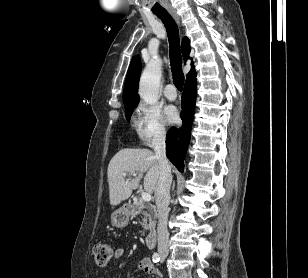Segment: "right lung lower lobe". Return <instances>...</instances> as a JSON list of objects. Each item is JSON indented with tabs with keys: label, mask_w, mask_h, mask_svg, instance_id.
Wrapping results in <instances>:
<instances>
[{
	"label": "right lung lower lobe",
	"mask_w": 308,
	"mask_h": 278,
	"mask_svg": "<svg viewBox=\"0 0 308 278\" xmlns=\"http://www.w3.org/2000/svg\"><path fill=\"white\" fill-rule=\"evenodd\" d=\"M197 82L196 76L186 80L182 94V112L180 117L183 120L181 128H171L167 134L166 155L169 160L183 172V156L190 141L191 125L196 101Z\"/></svg>",
	"instance_id": "1"
}]
</instances>
